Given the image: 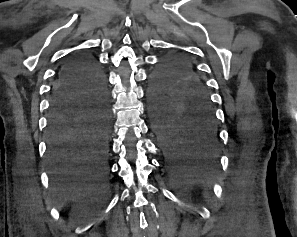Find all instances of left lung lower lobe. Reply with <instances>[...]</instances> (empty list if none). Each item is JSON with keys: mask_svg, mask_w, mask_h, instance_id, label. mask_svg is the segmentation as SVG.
<instances>
[{"mask_svg": "<svg viewBox=\"0 0 297 237\" xmlns=\"http://www.w3.org/2000/svg\"><path fill=\"white\" fill-rule=\"evenodd\" d=\"M150 112L159 145L173 165L217 164L219 135L211 105L200 101L180 107L151 105Z\"/></svg>", "mask_w": 297, "mask_h": 237, "instance_id": "obj_1", "label": "left lung lower lobe"}]
</instances>
